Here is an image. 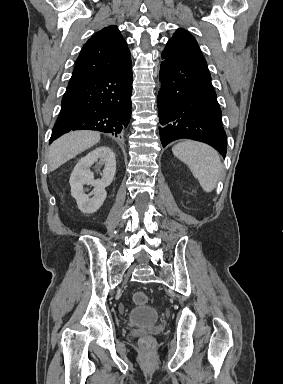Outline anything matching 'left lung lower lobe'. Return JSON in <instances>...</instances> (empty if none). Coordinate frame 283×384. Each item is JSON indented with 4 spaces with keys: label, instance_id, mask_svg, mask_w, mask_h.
<instances>
[{
    "label": "left lung lower lobe",
    "instance_id": "0a47b994",
    "mask_svg": "<svg viewBox=\"0 0 283 384\" xmlns=\"http://www.w3.org/2000/svg\"><path fill=\"white\" fill-rule=\"evenodd\" d=\"M162 58L165 62L161 63L160 70L162 88L158 94V111L163 147L187 138L207 143L225 157L226 134L206 60L170 42Z\"/></svg>",
    "mask_w": 283,
    "mask_h": 384
}]
</instances>
